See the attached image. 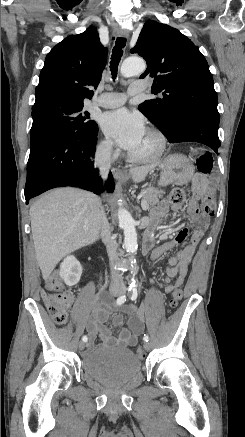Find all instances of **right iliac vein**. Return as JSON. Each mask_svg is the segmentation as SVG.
<instances>
[{"instance_id":"63e3f726","label":"right iliac vein","mask_w":245,"mask_h":437,"mask_svg":"<svg viewBox=\"0 0 245 437\" xmlns=\"http://www.w3.org/2000/svg\"><path fill=\"white\" fill-rule=\"evenodd\" d=\"M110 294L117 296L119 292L117 290H110ZM79 350H83L85 348V343L82 341L78 345Z\"/></svg>"}]
</instances>
